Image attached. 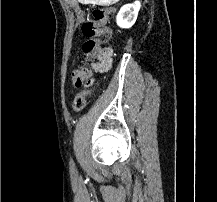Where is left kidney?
Masks as SVG:
<instances>
[{"instance_id": "5707ae66", "label": "left kidney", "mask_w": 217, "mask_h": 202, "mask_svg": "<svg viewBox=\"0 0 217 202\" xmlns=\"http://www.w3.org/2000/svg\"><path fill=\"white\" fill-rule=\"evenodd\" d=\"M140 10V2H134V4H126L121 10H119L116 16V24L120 28H131L135 24Z\"/></svg>"}]
</instances>
